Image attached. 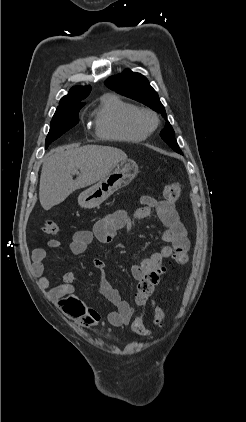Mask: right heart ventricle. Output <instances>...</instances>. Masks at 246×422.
<instances>
[{"mask_svg": "<svg viewBox=\"0 0 246 422\" xmlns=\"http://www.w3.org/2000/svg\"><path fill=\"white\" fill-rule=\"evenodd\" d=\"M139 108L116 94L101 97L95 110L94 127L96 134L103 139L127 142H140L148 133L136 123Z\"/></svg>", "mask_w": 246, "mask_h": 422, "instance_id": "e07e8e85", "label": "right heart ventricle"}]
</instances>
